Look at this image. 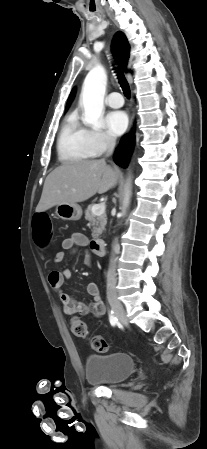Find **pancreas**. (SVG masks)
Here are the masks:
<instances>
[{"label": "pancreas", "instance_id": "obj_1", "mask_svg": "<svg viewBox=\"0 0 207 449\" xmlns=\"http://www.w3.org/2000/svg\"><path fill=\"white\" fill-rule=\"evenodd\" d=\"M94 205H89L87 209L85 210V219L88 220L92 226V237L98 238L99 235L102 234V232L105 230V225L107 223V216L106 214L102 215H95L92 212V207Z\"/></svg>", "mask_w": 207, "mask_h": 449}]
</instances>
